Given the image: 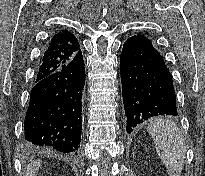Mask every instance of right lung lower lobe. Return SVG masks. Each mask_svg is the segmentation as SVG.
<instances>
[{
	"mask_svg": "<svg viewBox=\"0 0 205 176\" xmlns=\"http://www.w3.org/2000/svg\"><path fill=\"white\" fill-rule=\"evenodd\" d=\"M84 83L81 50L59 70L36 80L24 121L29 150L77 153L81 143Z\"/></svg>",
	"mask_w": 205,
	"mask_h": 176,
	"instance_id": "obj_1",
	"label": "right lung lower lobe"
}]
</instances>
